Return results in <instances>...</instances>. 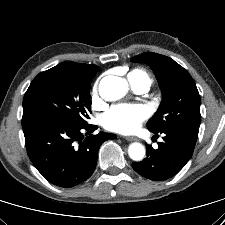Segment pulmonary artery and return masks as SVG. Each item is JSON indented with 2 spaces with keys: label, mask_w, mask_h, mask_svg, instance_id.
Here are the masks:
<instances>
[{
  "label": "pulmonary artery",
  "mask_w": 225,
  "mask_h": 225,
  "mask_svg": "<svg viewBox=\"0 0 225 225\" xmlns=\"http://www.w3.org/2000/svg\"><path fill=\"white\" fill-rule=\"evenodd\" d=\"M132 88L138 92V93H144L146 91H148L149 89V85L147 83H143V82H139V83H135V82H130Z\"/></svg>",
  "instance_id": "pulmonary-artery-1"
}]
</instances>
